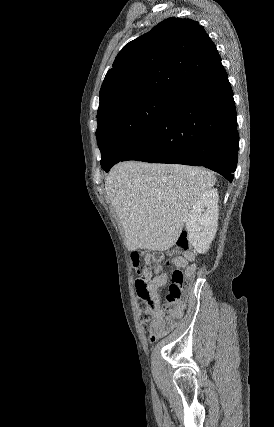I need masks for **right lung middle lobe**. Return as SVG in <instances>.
<instances>
[{"mask_svg":"<svg viewBox=\"0 0 274 427\" xmlns=\"http://www.w3.org/2000/svg\"><path fill=\"white\" fill-rule=\"evenodd\" d=\"M175 96L152 94L118 102L97 115L101 167L121 161L158 124Z\"/></svg>","mask_w":274,"mask_h":427,"instance_id":"right-lung-middle-lobe-1","label":"right lung middle lobe"}]
</instances>
